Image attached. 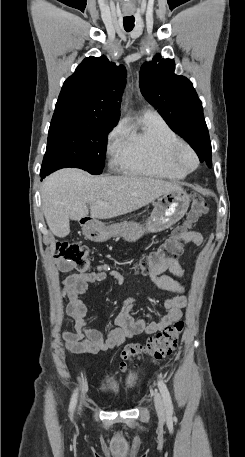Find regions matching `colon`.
Masks as SVG:
<instances>
[{
  "label": "colon",
  "instance_id": "obj_1",
  "mask_svg": "<svg viewBox=\"0 0 245 457\" xmlns=\"http://www.w3.org/2000/svg\"><path fill=\"white\" fill-rule=\"evenodd\" d=\"M208 210L206 200L198 193L192 195L190 222L198 220ZM185 229H178L166 239L157 249L148 253L138 263L137 270L141 273H150L161 262L178 256L182 251V234ZM55 257L72 263L78 270L87 271L90 268L88 248L75 241H60L56 244ZM184 329L183 321H176L145 343L127 344L120 353V367L126 370L132 365L135 358L149 356L153 359H162L172 353L178 345Z\"/></svg>",
  "mask_w": 245,
  "mask_h": 457
}]
</instances>
